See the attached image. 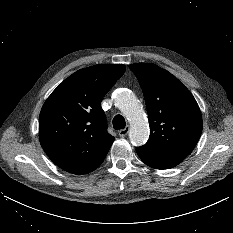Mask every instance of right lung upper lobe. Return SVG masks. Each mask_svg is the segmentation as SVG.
I'll return each mask as SVG.
<instances>
[{"instance_id": "obj_1", "label": "right lung upper lobe", "mask_w": 233, "mask_h": 233, "mask_svg": "<svg viewBox=\"0 0 233 233\" xmlns=\"http://www.w3.org/2000/svg\"><path fill=\"white\" fill-rule=\"evenodd\" d=\"M125 70L122 64L80 69L45 101L39 116L40 143L63 170L81 175L103 162L115 138L107 132L100 103Z\"/></svg>"}]
</instances>
